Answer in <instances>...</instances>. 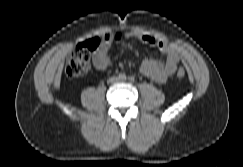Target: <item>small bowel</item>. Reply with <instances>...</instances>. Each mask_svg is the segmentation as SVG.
<instances>
[{"instance_id": "obj_1", "label": "small bowel", "mask_w": 243, "mask_h": 167, "mask_svg": "<svg viewBox=\"0 0 243 167\" xmlns=\"http://www.w3.org/2000/svg\"><path fill=\"white\" fill-rule=\"evenodd\" d=\"M142 42L153 45L166 57L165 62L147 58L142 64L141 73L158 83H165L177 70L179 55L170 44L146 33L135 34ZM131 33L107 32L102 37V44L94 56V65L98 70L104 71L111 65L108 50L113 44L128 38Z\"/></svg>"}]
</instances>
